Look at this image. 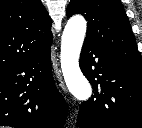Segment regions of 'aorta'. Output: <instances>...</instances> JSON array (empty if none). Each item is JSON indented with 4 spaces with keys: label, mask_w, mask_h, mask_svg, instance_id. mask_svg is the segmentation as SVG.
<instances>
[{
    "label": "aorta",
    "mask_w": 142,
    "mask_h": 128,
    "mask_svg": "<svg viewBox=\"0 0 142 128\" xmlns=\"http://www.w3.org/2000/svg\"><path fill=\"white\" fill-rule=\"evenodd\" d=\"M87 23L82 16L70 18L61 40V68L70 93L80 101H87L92 88L79 67V57L86 34Z\"/></svg>",
    "instance_id": "obj_1"
}]
</instances>
